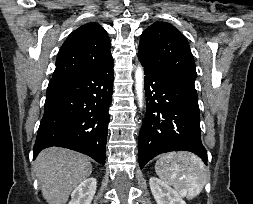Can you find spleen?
Here are the masks:
<instances>
[{"instance_id": "1", "label": "spleen", "mask_w": 253, "mask_h": 204, "mask_svg": "<svg viewBox=\"0 0 253 204\" xmlns=\"http://www.w3.org/2000/svg\"><path fill=\"white\" fill-rule=\"evenodd\" d=\"M155 171L161 180L189 199L202 192L210 177L203 161L186 151L162 155L155 164Z\"/></svg>"}]
</instances>
